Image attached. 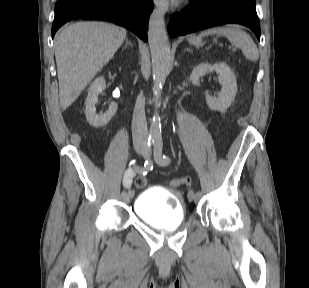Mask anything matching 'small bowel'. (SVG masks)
Returning a JSON list of instances; mask_svg holds the SVG:
<instances>
[{
    "label": "small bowel",
    "mask_w": 309,
    "mask_h": 288,
    "mask_svg": "<svg viewBox=\"0 0 309 288\" xmlns=\"http://www.w3.org/2000/svg\"><path fill=\"white\" fill-rule=\"evenodd\" d=\"M135 176V170L130 168L124 174L123 183L125 187H130Z\"/></svg>",
    "instance_id": "obj_1"
}]
</instances>
